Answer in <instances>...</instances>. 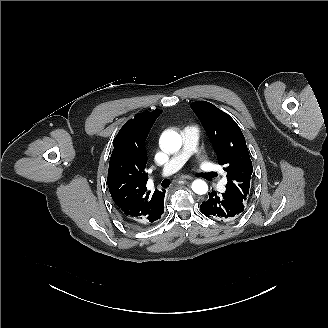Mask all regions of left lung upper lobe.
I'll use <instances>...</instances> for the list:
<instances>
[{
	"mask_svg": "<svg viewBox=\"0 0 328 328\" xmlns=\"http://www.w3.org/2000/svg\"><path fill=\"white\" fill-rule=\"evenodd\" d=\"M191 108L208 133L219 164L227 172L225 194L244 203L253 167L241 129L227 113L209 102L196 101Z\"/></svg>",
	"mask_w": 328,
	"mask_h": 328,
	"instance_id": "obj_1",
	"label": "left lung upper lobe"
}]
</instances>
